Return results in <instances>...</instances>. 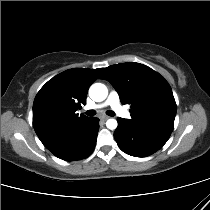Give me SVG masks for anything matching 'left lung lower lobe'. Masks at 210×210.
<instances>
[{
    "label": "left lung lower lobe",
    "instance_id": "left-lung-lower-lobe-1",
    "mask_svg": "<svg viewBox=\"0 0 210 210\" xmlns=\"http://www.w3.org/2000/svg\"><path fill=\"white\" fill-rule=\"evenodd\" d=\"M118 127L114 132V138L120 149L135 157L149 156L167 142L170 135L158 131L136 129L118 118Z\"/></svg>",
    "mask_w": 210,
    "mask_h": 210
}]
</instances>
